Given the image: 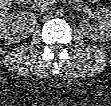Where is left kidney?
Listing matches in <instances>:
<instances>
[{
    "label": "left kidney",
    "instance_id": "left-kidney-1",
    "mask_svg": "<svg viewBox=\"0 0 111 106\" xmlns=\"http://www.w3.org/2000/svg\"><path fill=\"white\" fill-rule=\"evenodd\" d=\"M96 24H90L82 20L80 26L86 37L93 41L104 42L111 39V11L99 8L95 11Z\"/></svg>",
    "mask_w": 111,
    "mask_h": 106
}]
</instances>
